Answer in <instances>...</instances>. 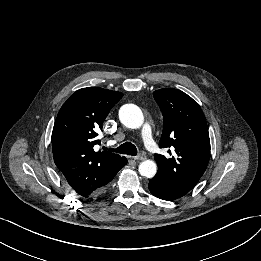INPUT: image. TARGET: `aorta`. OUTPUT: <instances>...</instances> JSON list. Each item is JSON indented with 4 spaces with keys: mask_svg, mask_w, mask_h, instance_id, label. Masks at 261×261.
<instances>
[{
    "mask_svg": "<svg viewBox=\"0 0 261 261\" xmlns=\"http://www.w3.org/2000/svg\"><path fill=\"white\" fill-rule=\"evenodd\" d=\"M119 119L123 125L131 129L140 128L144 122L141 109L134 104H125L119 110ZM141 176L152 178L157 172V165L152 160H145L138 167Z\"/></svg>",
    "mask_w": 261,
    "mask_h": 261,
    "instance_id": "762f6f07",
    "label": "aorta"
}]
</instances>
